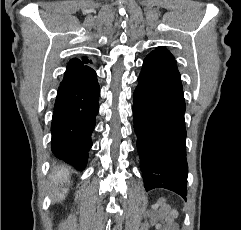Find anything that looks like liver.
<instances>
[{
  "instance_id": "obj_1",
  "label": "liver",
  "mask_w": 241,
  "mask_h": 230,
  "mask_svg": "<svg viewBox=\"0 0 241 230\" xmlns=\"http://www.w3.org/2000/svg\"><path fill=\"white\" fill-rule=\"evenodd\" d=\"M54 179L56 181V183L58 182H63V181H69V172L66 168L62 167L61 169L57 170L55 175H54ZM55 196L57 197V201H62L65 197L64 195H61L59 193L55 194Z\"/></svg>"
}]
</instances>
